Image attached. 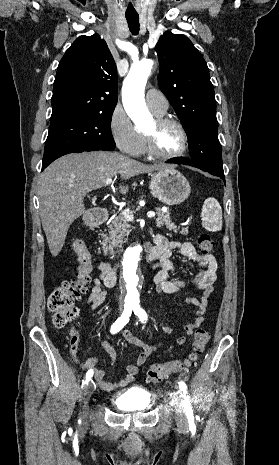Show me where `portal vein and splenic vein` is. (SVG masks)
<instances>
[{
	"mask_svg": "<svg viewBox=\"0 0 279 465\" xmlns=\"http://www.w3.org/2000/svg\"><path fill=\"white\" fill-rule=\"evenodd\" d=\"M112 182H113V181H112V178H109V179L106 180L105 185L108 186V185H110ZM122 215H123L127 220H129V221H132L133 218H134L132 212H131L129 209H124V210L122 211ZM147 217H148V218H154V217H155V212L149 211V212L147 213Z\"/></svg>",
	"mask_w": 279,
	"mask_h": 465,
	"instance_id": "1",
	"label": "portal vein and splenic vein"
}]
</instances>
